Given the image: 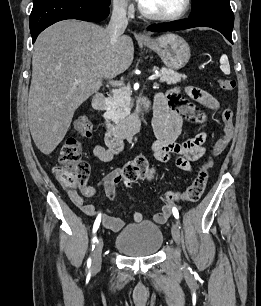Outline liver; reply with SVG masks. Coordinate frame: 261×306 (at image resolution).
<instances>
[{
	"label": "liver",
	"mask_w": 261,
	"mask_h": 306,
	"mask_svg": "<svg viewBox=\"0 0 261 306\" xmlns=\"http://www.w3.org/2000/svg\"><path fill=\"white\" fill-rule=\"evenodd\" d=\"M133 58L131 37L121 35L112 45L107 29L93 23L71 19L45 29L34 45L28 98L29 128L37 148L51 154L76 109L104 79L126 71Z\"/></svg>",
	"instance_id": "1"
}]
</instances>
